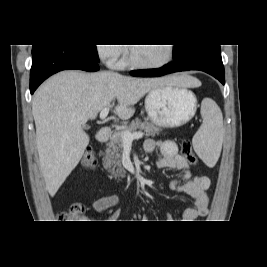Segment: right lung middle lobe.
Here are the masks:
<instances>
[{"label": "right lung middle lobe", "mask_w": 267, "mask_h": 267, "mask_svg": "<svg viewBox=\"0 0 267 267\" xmlns=\"http://www.w3.org/2000/svg\"><path fill=\"white\" fill-rule=\"evenodd\" d=\"M75 46L84 51L86 54H88L92 59L99 61L96 45H75Z\"/></svg>", "instance_id": "obj_1"}]
</instances>
